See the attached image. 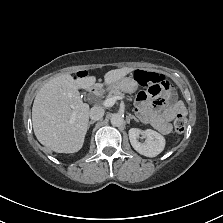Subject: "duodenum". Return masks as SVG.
Instances as JSON below:
<instances>
[{"label":"duodenum","mask_w":223,"mask_h":223,"mask_svg":"<svg viewBox=\"0 0 223 223\" xmlns=\"http://www.w3.org/2000/svg\"><path fill=\"white\" fill-rule=\"evenodd\" d=\"M102 90H103V86L101 85L95 86L91 89V92L89 93V95H95V94L101 93Z\"/></svg>","instance_id":"obj_1"}]
</instances>
